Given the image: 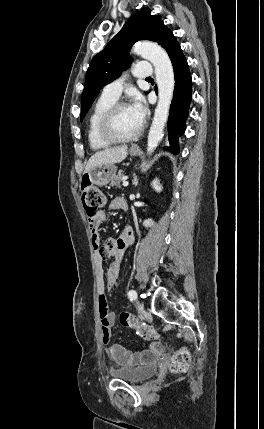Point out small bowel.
<instances>
[{"label":"small bowel","mask_w":264,"mask_h":429,"mask_svg":"<svg viewBox=\"0 0 264 429\" xmlns=\"http://www.w3.org/2000/svg\"><path fill=\"white\" fill-rule=\"evenodd\" d=\"M126 203L121 197H116L110 202L113 210L122 209V204ZM106 220L104 212H100L95 219H89V229L92 246L94 249V259L97 265L96 277L98 285V302L101 322L102 339L105 351L110 360L119 368H130L145 365L153 362L160 354L162 347L159 343H151L145 350L132 352L125 347L111 342V329L115 324V313L109 310L106 300V289H112L118 281L121 262L125 250L134 243L135 235L131 227H125L117 238H107L101 246L99 227ZM113 257L104 280L102 262L107 257Z\"/></svg>","instance_id":"small-bowel-1"}]
</instances>
